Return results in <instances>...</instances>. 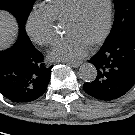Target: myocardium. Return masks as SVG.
<instances>
[{
    "instance_id": "1",
    "label": "myocardium",
    "mask_w": 135,
    "mask_h": 135,
    "mask_svg": "<svg viewBox=\"0 0 135 135\" xmlns=\"http://www.w3.org/2000/svg\"><path fill=\"white\" fill-rule=\"evenodd\" d=\"M82 2L83 0H77L74 3L73 8L69 13V15L67 16V18L65 19V21H71L77 17ZM107 5H108V12H107V20H106L105 28L102 34L89 45L92 48L102 44L106 40V38L108 37L111 31L112 23H113V1L107 0Z\"/></svg>"
}]
</instances>
